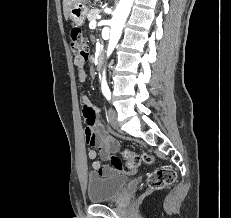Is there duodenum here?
Here are the masks:
<instances>
[{
	"instance_id": "obj_1",
	"label": "duodenum",
	"mask_w": 231,
	"mask_h": 218,
	"mask_svg": "<svg viewBox=\"0 0 231 218\" xmlns=\"http://www.w3.org/2000/svg\"><path fill=\"white\" fill-rule=\"evenodd\" d=\"M103 62V52L102 50H100L97 55H96V58H95V63L96 65L100 66Z\"/></svg>"
}]
</instances>
